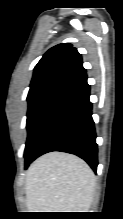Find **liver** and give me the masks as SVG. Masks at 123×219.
<instances>
[{
	"instance_id": "6515ba94",
	"label": "liver",
	"mask_w": 123,
	"mask_h": 219,
	"mask_svg": "<svg viewBox=\"0 0 123 219\" xmlns=\"http://www.w3.org/2000/svg\"><path fill=\"white\" fill-rule=\"evenodd\" d=\"M95 175L81 158L50 152L36 159L26 173V205L30 212H88Z\"/></svg>"
}]
</instances>
